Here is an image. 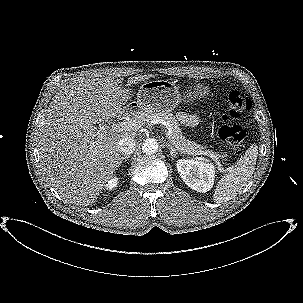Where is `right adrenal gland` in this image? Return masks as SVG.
Listing matches in <instances>:
<instances>
[{
	"instance_id": "right-adrenal-gland-1",
	"label": "right adrenal gland",
	"mask_w": 303,
	"mask_h": 303,
	"mask_svg": "<svg viewBox=\"0 0 303 303\" xmlns=\"http://www.w3.org/2000/svg\"><path fill=\"white\" fill-rule=\"evenodd\" d=\"M129 158H130V155H125V156L121 157L118 165H121L124 160L127 161Z\"/></svg>"
}]
</instances>
